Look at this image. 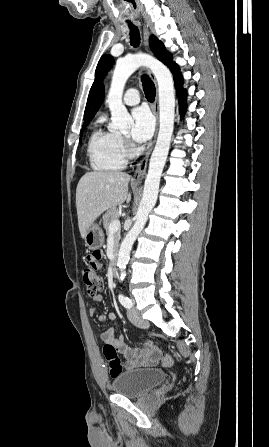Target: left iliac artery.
Wrapping results in <instances>:
<instances>
[{
  "mask_svg": "<svg viewBox=\"0 0 269 447\" xmlns=\"http://www.w3.org/2000/svg\"><path fill=\"white\" fill-rule=\"evenodd\" d=\"M119 302L125 307V308H132L133 302L130 298L124 296L123 294H119L118 296Z\"/></svg>",
  "mask_w": 269,
  "mask_h": 447,
  "instance_id": "obj_1",
  "label": "left iliac artery"
}]
</instances>
